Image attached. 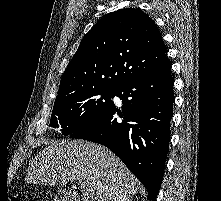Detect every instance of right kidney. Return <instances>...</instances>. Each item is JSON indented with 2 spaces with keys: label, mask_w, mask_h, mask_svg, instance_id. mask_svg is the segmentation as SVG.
<instances>
[{
  "label": "right kidney",
  "mask_w": 221,
  "mask_h": 201,
  "mask_svg": "<svg viewBox=\"0 0 221 201\" xmlns=\"http://www.w3.org/2000/svg\"><path fill=\"white\" fill-rule=\"evenodd\" d=\"M116 201H130V200L128 198L123 197V198H118Z\"/></svg>",
  "instance_id": "1"
}]
</instances>
